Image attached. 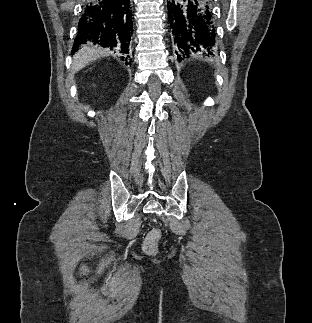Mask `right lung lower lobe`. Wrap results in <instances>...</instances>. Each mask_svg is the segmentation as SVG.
Returning <instances> with one entry per match:
<instances>
[{
  "instance_id": "right-lung-lower-lobe-1",
  "label": "right lung lower lobe",
  "mask_w": 312,
  "mask_h": 323,
  "mask_svg": "<svg viewBox=\"0 0 312 323\" xmlns=\"http://www.w3.org/2000/svg\"><path fill=\"white\" fill-rule=\"evenodd\" d=\"M81 13L72 53L93 43L127 60L133 33L130 0H86Z\"/></svg>"
}]
</instances>
